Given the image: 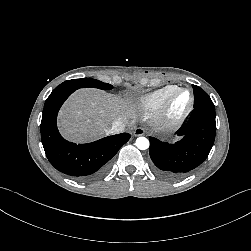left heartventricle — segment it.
I'll list each match as a JSON object with an SVG mask.
<instances>
[{"label":"left heart ventricle","mask_w":251,"mask_h":251,"mask_svg":"<svg viewBox=\"0 0 251 251\" xmlns=\"http://www.w3.org/2000/svg\"><path fill=\"white\" fill-rule=\"evenodd\" d=\"M188 102V95L185 93L179 94L175 97L171 110L173 113L179 112Z\"/></svg>","instance_id":"obj_1"}]
</instances>
